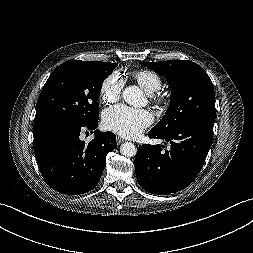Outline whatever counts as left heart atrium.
Listing matches in <instances>:
<instances>
[{"label":"left heart atrium","instance_id":"obj_1","mask_svg":"<svg viewBox=\"0 0 253 253\" xmlns=\"http://www.w3.org/2000/svg\"><path fill=\"white\" fill-rule=\"evenodd\" d=\"M153 121L148 110L134 109L125 105L108 108L102 116V123L108 130L126 138H135Z\"/></svg>","mask_w":253,"mask_h":253}]
</instances>
